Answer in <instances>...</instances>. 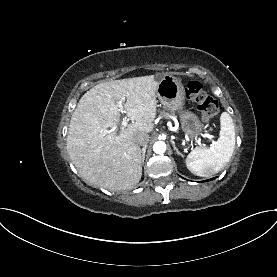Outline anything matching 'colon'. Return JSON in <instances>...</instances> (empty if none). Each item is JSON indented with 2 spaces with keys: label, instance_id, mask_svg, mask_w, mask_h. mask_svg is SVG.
Returning <instances> with one entry per match:
<instances>
[{
  "label": "colon",
  "instance_id": "5ec220e1",
  "mask_svg": "<svg viewBox=\"0 0 277 277\" xmlns=\"http://www.w3.org/2000/svg\"><path fill=\"white\" fill-rule=\"evenodd\" d=\"M185 93L187 99L196 104L202 112V120L205 123H209L216 117L219 112L217 100L203 89L200 82L189 81Z\"/></svg>",
  "mask_w": 277,
  "mask_h": 277
}]
</instances>
